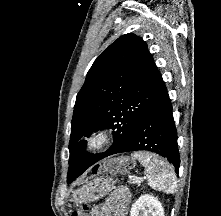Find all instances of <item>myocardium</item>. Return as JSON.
Instances as JSON below:
<instances>
[{"label":"myocardium","instance_id":"1","mask_svg":"<svg viewBox=\"0 0 221 216\" xmlns=\"http://www.w3.org/2000/svg\"><path fill=\"white\" fill-rule=\"evenodd\" d=\"M112 133L107 129L93 131L85 141V150L89 153H97L106 148L112 141Z\"/></svg>","mask_w":221,"mask_h":216}]
</instances>
